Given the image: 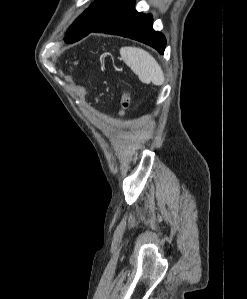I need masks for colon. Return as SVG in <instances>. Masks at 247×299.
I'll return each instance as SVG.
<instances>
[{
    "mask_svg": "<svg viewBox=\"0 0 247 299\" xmlns=\"http://www.w3.org/2000/svg\"><path fill=\"white\" fill-rule=\"evenodd\" d=\"M129 103H130V95L128 92H124L121 96V99H120V110H119V113L121 115L124 114L125 110L128 108L129 106Z\"/></svg>",
    "mask_w": 247,
    "mask_h": 299,
    "instance_id": "5ec220e1",
    "label": "colon"
}]
</instances>
